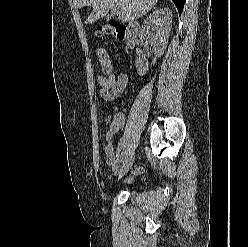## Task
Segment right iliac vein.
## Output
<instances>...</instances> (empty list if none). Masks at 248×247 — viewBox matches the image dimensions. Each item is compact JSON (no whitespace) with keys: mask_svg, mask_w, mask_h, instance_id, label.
<instances>
[{"mask_svg":"<svg viewBox=\"0 0 248 247\" xmlns=\"http://www.w3.org/2000/svg\"><path fill=\"white\" fill-rule=\"evenodd\" d=\"M134 159H135V156H134V152L132 151L125 158L124 165H123L122 169L120 170L118 179H121L124 175H126L128 173V171L130 170V168L134 162Z\"/></svg>","mask_w":248,"mask_h":247,"instance_id":"1","label":"right iliac vein"}]
</instances>
